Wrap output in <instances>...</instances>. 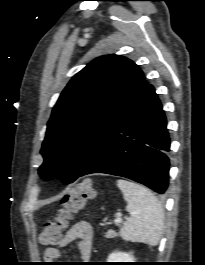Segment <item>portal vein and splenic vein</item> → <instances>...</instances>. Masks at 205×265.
<instances>
[{"label":"portal vein and splenic vein","mask_w":205,"mask_h":265,"mask_svg":"<svg viewBox=\"0 0 205 265\" xmlns=\"http://www.w3.org/2000/svg\"><path fill=\"white\" fill-rule=\"evenodd\" d=\"M122 222V219L120 218V217H117L116 219H115V223L116 224H119V223H121Z\"/></svg>","instance_id":"obj_1"}]
</instances>
